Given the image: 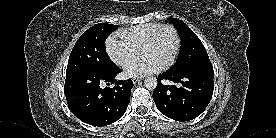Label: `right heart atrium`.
<instances>
[{
	"instance_id": "right-heart-atrium-1",
	"label": "right heart atrium",
	"mask_w": 276,
	"mask_h": 138,
	"mask_svg": "<svg viewBox=\"0 0 276 138\" xmlns=\"http://www.w3.org/2000/svg\"><path fill=\"white\" fill-rule=\"evenodd\" d=\"M106 52L115 64L124 67L135 57L137 49L119 34L107 38Z\"/></svg>"
}]
</instances>
